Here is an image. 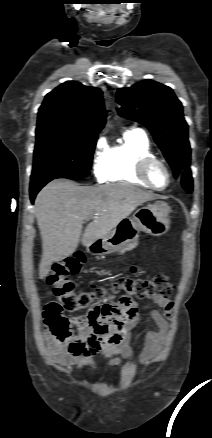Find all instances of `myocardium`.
Returning a JSON list of instances; mask_svg holds the SVG:
<instances>
[{"mask_svg":"<svg viewBox=\"0 0 212 438\" xmlns=\"http://www.w3.org/2000/svg\"><path fill=\"white\" fill-rule=\"evenodd\" d=\"M155 163L160 164L165 169L167 176H168V182L162 188L155 186L148 178V170L152 166V164H155ZM135 174L145 185H147L149 188L156 190V191L166 190L172 183V173H171V170H170L168 164L164 160H162L156 156L142 157L136 165Z\"/></svg>","mask_w":212,"mask_h":438,"instance_id":"obj_1","label":"myocardium"}]
</instances>
